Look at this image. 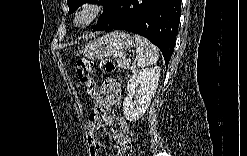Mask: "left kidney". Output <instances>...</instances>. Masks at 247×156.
Listing matches in <instances>:
<instances>
[{
	"label": "left kidney",
	"mask_w": 247,
	"mask_h": 156,
	"mask_svg": "<svg viewBox=\"0 0 247 156\" xmlns=\"http://www.w3.org/2000/svg\"><path fill=\"white\" fill-rule=\"evenodd\" d=\"M160 77V67L139 69L131 75L123 102V113L127 120H138L148 109L156 92Z\"/></svg>",
	"instance_id": "1"
}]
</instances>
